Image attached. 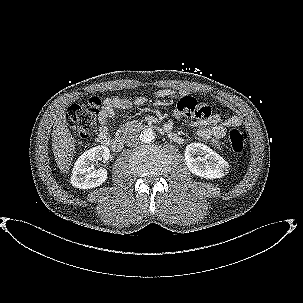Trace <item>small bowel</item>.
<instances>
[{
	"label": "small bowel",
	"instance_id": "obj_1",
	"mask_svg": "<svg viewBox=\"0 0 303 303\" xmlns=\"http://www.w3.org/2000/svg\"><path fill=\"white\" fill-rule=\"evenodd\" d=\"M154 96L179 99L188 95L186 93H178L169 89H162L156 91L154 93ZM145 102V96L137 97L134 102L127 98H120L117 96L105 98L103 105L98 113V141L106 144L107 140L110 139V128L108 126V120L114 116L115 109L127 110L130 109L133 105L141 107L145 104ZM202 110L204 111L205 115L193 123V126L198 128L197 135L201 139L211 141L215 145H217L219 140L225 136L227 128L238 127L242 123L241 118L237 115L230 116L224 122H222L220 115L212 112L211 108L207 105H202ZM164 128L172 134L170 137L172 141L177 143L182 142V137L173 131L172 122H167Z\"/></svg>",
	"mask_w": 303,
	"mask_h": 303
}]
</instances>
